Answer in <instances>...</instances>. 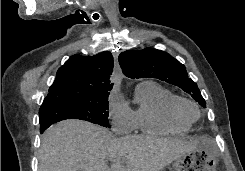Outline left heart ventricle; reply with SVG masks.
<instances>
[{"label":"left heart ventricle","instance_id":"obj_1","mask_svg":"<svg viewBox=\"0 0 245 171\" xmlns=\"http://www.w3.org/2000/svg\"><path fill=\"white\" fill-rule=\"evenodd\" d=\"M183 112L189 119H195L197 117L196 110L191 106H184Z\"/></svg>","mask_w":245,"mask_h":171}]
</instances>
